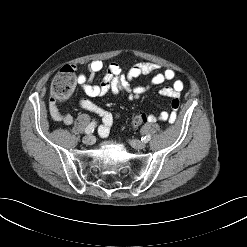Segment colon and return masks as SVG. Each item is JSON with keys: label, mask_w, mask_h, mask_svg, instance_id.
I'll use <instances>...</instances> for the list:
<instances>
[{"label": "colon", "mask_w": 247, "mask_h": 247, "mask_svg": "<svg viewBox=\"0 0 247 247\" xmlns=\"http://www.w3.org/2000/svg\"><path fill=\"white\" fill-rule=\"evenodd\" d=\"M76 86V77L73 66L63 67L54 77L50 87L51 100L55 103L58 101L67 100L73 93ZM172 106L179 108V100L173 101ZM147 120V115L144 112L137 113L132 119L133 128L137 129Z\"/></svg>", "instance_id": "1"}]
</instances>
